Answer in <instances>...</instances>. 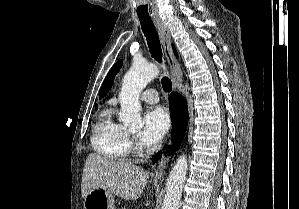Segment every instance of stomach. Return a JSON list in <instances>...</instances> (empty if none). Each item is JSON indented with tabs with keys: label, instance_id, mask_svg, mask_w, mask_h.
Instances as JSON below:
<instances>
[{
	"label": "stomach",
	"instance_id": "obj_1",
	"mask_svg": "<svg viewBox=\"0 0 299 209\" xmlns=\"http://www.w3.org/2000/svg\"><path fill=\"white\" fill-rule=\"evenodd\" d=\"M85 209H115L114 196L108 190L98 188L84 198Z\"/></svg>",
	"mask_w": 299,
	"mask_h": 209
}]
</instances>
